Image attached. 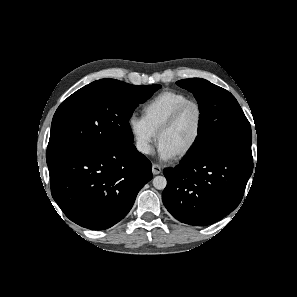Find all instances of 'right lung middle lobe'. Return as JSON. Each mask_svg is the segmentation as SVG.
I'll list each match as a JSON object with an SVG mask.
<instances>
[{"label":"right lung middle lobe","instance_id":"dd1d6c3e","mask_svg":"<svg viewBox=\"0 0 297 297\" xmlns=\"http://www.w3.org/2000/svg\"><path fill=\"white\" fill-rule=\"evenodd\" d=\"M160 88L102 79L70 95L52 120L47 165L74 151L133 143L129 119Z\"/></svg>","mask_w":297,"mask_h":297}]
</instances>
